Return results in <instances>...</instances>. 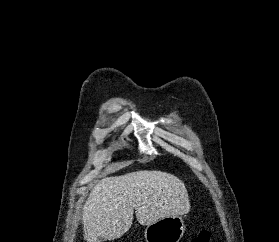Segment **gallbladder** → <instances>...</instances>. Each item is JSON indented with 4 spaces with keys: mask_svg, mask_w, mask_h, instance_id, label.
<instances>
[{
    "mask_svg": "<svg viewBox=\"0 0 279 242\" xmlns=\"http://www.w3.org/2000/svg\"><path fill=\"white\" fill-rule=\"evenodd\" d=\"M98 242H101V238H99V241Z\"/></svg>",
    "mask_w": 279,
    "mask_h": 242,
    "instance_id": "gallbladder-1",
    "label": "gallbladder"
}]
</instances>
